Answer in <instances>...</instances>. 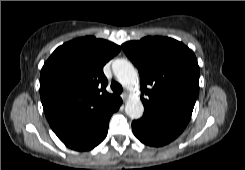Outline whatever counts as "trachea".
I'll list each match as a JSON object with an SVG mask.
<instances>
[{
	"mask_svg": "<svg viewBox=\"0 0 245 170\" xmlns=\"http://www.w3.org/2000/svg\"><path fill=\"white\" fill-rule=\"evenodd\" d=\"M111 89H112L113 92L116 93V94H121L122 91H123L122 86H121L118 82H116V81H113V82L111 83Z\"/></svg>",
	"mask_w": 245,
	"mask_h": 170,
	"instance_id": "1",
	"label": "trachea"
}]
</instances>
